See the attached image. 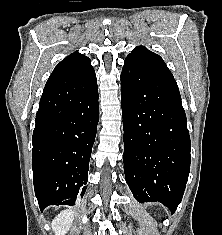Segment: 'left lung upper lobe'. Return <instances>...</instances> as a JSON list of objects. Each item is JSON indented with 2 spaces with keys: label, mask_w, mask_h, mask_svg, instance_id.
I'll return each mask as SVG.
<instances>
[{
  "label": "left lung upper lobe",
  "mask_w": 222,
  "mask_h": 235,
  "mask_svg": "<svg viewBox=\"0 0 222 235\" xmlns=\"http://www.w3.org/2000/svg\"><path fill=\"white\" fill-rule=\"evenodd\" d=\"M127 60H134L138 61L139 63L142 64H147L153 68H156L164 73L169 74L170 76H173L170 70L168 69L167 65L163 61V59L149 51L146 47L144 46H138L136 47L127 57Z\"/></svg>",
  "instance_id": "5c2ea615"
}]
</instances>
